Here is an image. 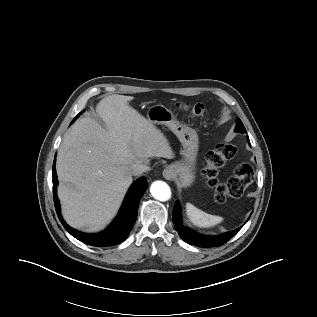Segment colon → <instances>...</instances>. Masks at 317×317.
<instances>
[{
  "mask_svg": "<svg viewBox=\"0 0 317 317\" xmlns=\"http://www.w3.org/2000/svg\"><path fill=\"white\" fill-rule=\"evenodd\" d=\"M179 108L188 112L195 118H202L205 114V107L202 104L189 105L179 103ZM236 154V147L232 144L221 143L208 153L206 165L202 171L207 187L212 189L214 198L217 201H225L228 198H238L244 193L245 188L253 181V168L246 164H239L234 172V176L226 183L218 180L219 170Z\"/></svg>",
  "mask_w": 317,
  "mask_h": 317,
  "instance_id": "colon-1",
  "label": "colon"
}]
</instances>
